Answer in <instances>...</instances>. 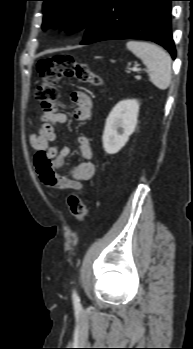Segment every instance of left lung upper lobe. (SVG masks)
<instances>
[{"instance_id": "5c2ea615", "label": "left lung upper lobe", "mask_w": 193, "mask_h": 349, "mask_svg": "<svg viewBox=\"0 0 193 349\" xmlns=\"http://www.w3.org/2000/svg\"><path fill=\"white\" fill-rule=\"evenodd\" d=\"M43 25L48 28L58 22L68 32L86 29L97 16L106 0H41Z\"/></svg>"}]
</instances>
